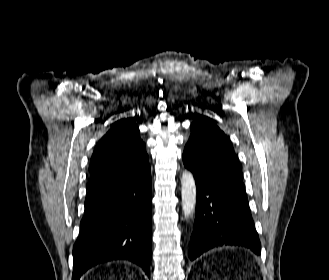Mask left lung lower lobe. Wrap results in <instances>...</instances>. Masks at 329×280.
Returning <instances> with one entry per match:
<instances>
[{
	"instance_id": "0a47b994",
	"label": "left lung lower lobe",
	"mask_w": 329,
	"mask_h": 280,
	"mask_svg": "<svg viewBox=\"0 0 329 280\" xmlns=\"http://www.w3.org/2000/svg\"><path fill=\"white\" fill-rule=\"evenodd\" d=\"M224 170L225 179L222 183H206L193 173L197 204L189 246L191 260L212 248L222 246L245 247L257 255L261 254V244L249 209L241 168L233 165ZM227 184L230 186L227 187Z\"/></svg>"
}]
</instances>
